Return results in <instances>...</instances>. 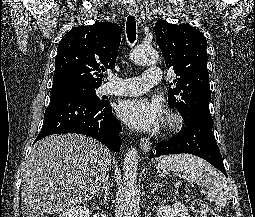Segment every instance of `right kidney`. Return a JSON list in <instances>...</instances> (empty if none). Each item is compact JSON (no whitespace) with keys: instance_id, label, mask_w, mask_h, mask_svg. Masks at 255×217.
Here are the masks:
<instances>
[{"instance_id":"obj_1","label":"right kidney","mask_w":255,"mask_h":217,"mask_svg":"<svg viewBox=\"0 0 255 217\" xmlns=\"http://www.w3.org/2000/svg\"><path fill=\"white\" fill-rule=\"evenodd\" d=\"M90 210L86 206L65 209L58 217H89Z\"/></svg>"}]
</instances>
